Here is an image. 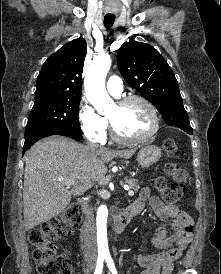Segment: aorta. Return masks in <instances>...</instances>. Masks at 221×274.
<instances>
[{"label":"aorta","instance_id":"aorta-1","mask_svg":"<svg viewBox=\"0 0 221 274\" xmlns=\"http://www.w3.org/2000/svg\"><path fill=\"white\" fill-rule=\"evenodd\" d=\"M111 66L109 57L97 58L93 61L88 69L84 87L89 102L99 111L102 112L103 107L108 105L111 98L107 94L105 88V78ZM107 217L108 208L101 205L97 211V242L100 254L109 253L107 241Z\"/></svg>","mask_w":221,"mask_h":274}]
</instances>
